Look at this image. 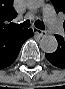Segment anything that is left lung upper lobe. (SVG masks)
Here are the masks:
<instances>
[{
	"mask_svg": "<svg viewBox=\"0 0 65 89\" xmlns=\"http://www.w3.org/2000/svg\"><path fill=\"white\" fill-rule=\"evenodd\" d=\"M55 4L57 12H63L65 14V0H52ZM65 29V22H64Z\"/></svg>",
	"mask_w": 65,
	"mask_h": 89,
	"instance_id": "5c2ea615",
	"label": "left lung upper lobe"
}]
</instances>
